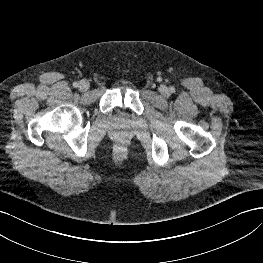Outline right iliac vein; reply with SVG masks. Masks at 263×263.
<instances>
[{
    "label": "right iliac vein",
    "instance_id": "right-iliac-vein-1",
    "mask_svg": "<svg viewBox=\"0 0 263 263\" xmlns=\"http://www.w3.org/2000/svg\"><path fill=\"white\" fill-rule=\"evenodd\" d=\"M90 83L87 80H81L79 84V90L85 92L89 89Z\"/></svg>",
    "mask_w": 263,
    "mask_h": 263
}]
</instances>
